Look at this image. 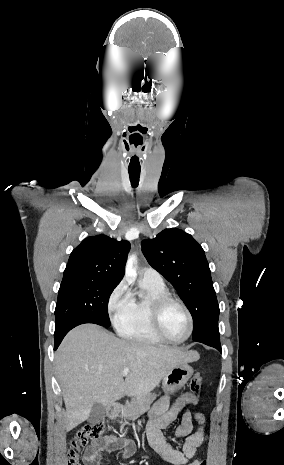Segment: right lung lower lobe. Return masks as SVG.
<instances>
[{"label":"right lung lower lobe","instance_id":"right-lung-lower-lobe-1","mask_svg":"<svg viewBox=\"0 0 284 465\" xmlns=\"http://www.w3.org/2000/svg\"><path fill=\"white\" fill-rule=\"evenodd\" d=\"M84 323H94L93 321L90 320H75L71 321L65 325H63L60 328H55V334H54V350L58 348L60 345L61 341L63 340L64 336L74 327L84 324ZM95 324V323H94Z\"/></svg>","mask_w":284,"mask_h":465}]
</instances>
